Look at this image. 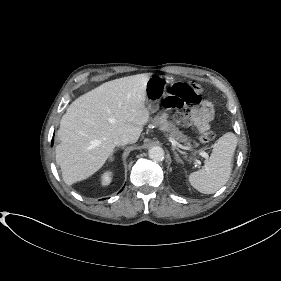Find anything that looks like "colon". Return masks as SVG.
<instances>
[{
    "label": "colon",
    "instance_id": "colon-1",
    "mask_svg": "<svg viewBox=\"0 0 281 281\" xmlns=\"http://www.w3.org/2000/svg\"><path fill=\"white\" fill-rule=\"evenodd\" d=\"M202 87L199 84L175 83L172 85L170 95L167 96L163 104L166 108L180 110L186 105H196L200 102ZM182 122L188 124L189 116H183ZM214 139V134L210 131L202 134L200 140L203 144H208Z\"/></svg>",
    "mask_w": 281,
    "mask_h": 281
}]
</instances>
